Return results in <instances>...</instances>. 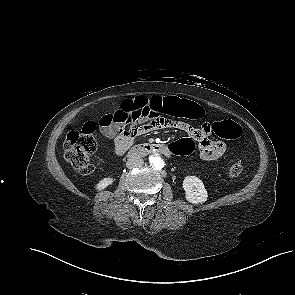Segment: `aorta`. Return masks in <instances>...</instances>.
I'll list each match as a JSON object with an SVG mask.
<instances>
[{
	"mask_svg": "<svg viewBox=\"0 0 295 295\" xmlns=\"http://www.w3.org/2000/svg\"><path fill=\"white\" fill-rule=\"evenodd\" d=\"M149 162L152 168L160 170L164 167V161L158 154H153L149 157Z\"/></svg>",
	"mask_w": 295,
	"mask_h": 295,
	"instance_id": "762f6f07",
	"label": "aorta"
}]
</instances>
